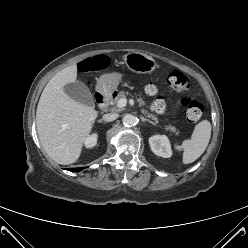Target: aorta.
<instances>
[{
    "instance_id": "1",
    "label": "aorta",
    "mask_w": 248,
    "mask_h": 248,
    "mask_svg": "<svg viewBox=\"0 0 248 248\" xmlns=\"http://www.w3.org/2000/svg\"><path fill=\"white\" fill-rule=\"evenodd\" d=\"M123 125L125 127L135 126L137 123L136 117L132 114H126L122 119Z\"/></svg>"
}]
</instances>
